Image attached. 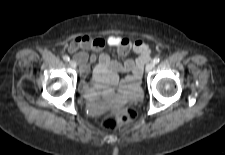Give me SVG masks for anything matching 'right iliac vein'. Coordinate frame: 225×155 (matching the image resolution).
<instances>
[{"label": "right iliac vein", "instance_id": "1", "mask_svg": "<svg viewBox=\"0 0 225 155\" xmlns=\"http://www.w3.org/2000/svg\"><path fill=\"white\" fill-rule=\"evenodd\" d=\"M69 65H70L72 68H76L77 63H76L75 60H71V61H69Z\"/></svg>", "mask_w": 225, "mask_h": 155}]
</instances>
